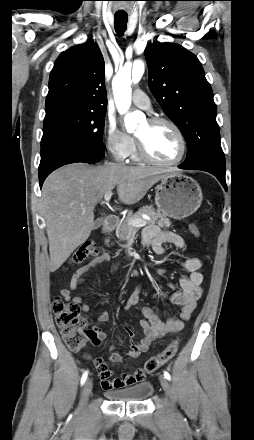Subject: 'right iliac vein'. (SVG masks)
<instances>
[{
	"label": "right iliac vein",
	"mask_w": 254,
	"mask_h": 440,
	"mask_svg": "<svg viewBox=\"0 0 254 440\" xmlns=\"http://www.w3.org/2000/svg\"><path fill=\"white\" fill-rule=\"evenodd\" d=\"M91 390H92V380L88 379L82 387L81 400L78 407V412H82L85 409Z\"/></svg>",
	"instance_id": "right-iliac-vein-1"
}]
</instances>
